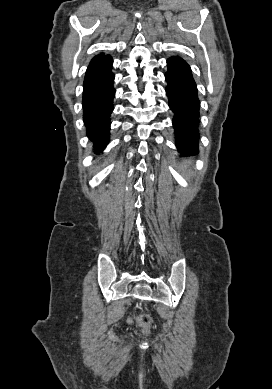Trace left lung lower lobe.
Segmentation results:
<instances>
[{
  "label": "left lung lower lobe",
  "mask_w": 272,
  "mask_h": 389,
  "mask_svg": "<svg viewBox=\"0 0 272 389\" xmlns=\"http://www.w3.org/2000/svg\"><path fill=\"white\" fill-rule=\"evenodd\" d=\"M166 94L174 113L176 146L183 155H196L199 141L200 101L190 66L180 57L167 60Z\"/></svg>",
  "instance_id": "1"
}]
</instances>
